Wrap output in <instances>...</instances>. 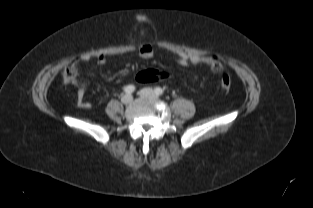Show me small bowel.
Masks as SVG:
<instances>
[{"label":"small bowel","mask_w":313,"mask_h":208,"mask_svg":"<svg viewBox=\"0 0 313 208\" xmlns=\"http://www.w3.org/2000/svg\"><path fill=\"white\" fill-rule=\"evenodd\" d=\"M138 55L141 58L149 59V58L154 57L155 50L151 45H144L139 49ZM176 60L182 66H187L189 64L197 65V64H203V63L210 65V62L206 58V56L190 55V54L183 53V52L177 53ZM90 61H91L90 55H82L81 57L73 61L69 67H72V66L75 67L76 65L80 63H88ZM96 62L99 65H104L107 62V56L100 55L96 59ZM77 104L79 107L85 108V109L91 107V103L88 101L86 97V89L84 87H80L77 91Z\"/></svg>","instance_id":"c3829d8e"}]
</instances>
